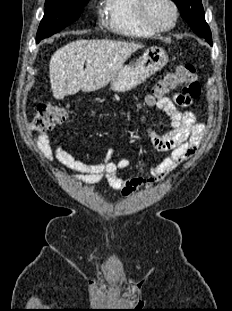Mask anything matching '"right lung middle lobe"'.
<instances>
[{
  "mask_svg": "<svg viewBox=\"0 0 232 311\" xmlns=\"http://www.w3.org/2000/svg\"><path fill=\"white\" fill-rule=\"evenodd\" d=\"M89 0H46L45 13L40 23L36 42L59 32L76 21Z\"/></svg>",
  "mask_w": 232,
  "mask_h": 311,
  "instance_id": "obj_1",
  "label": "right lung middle lobe"
}]
</instances>
